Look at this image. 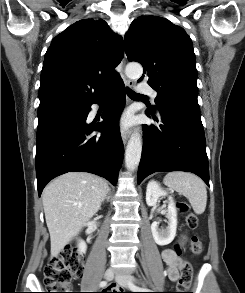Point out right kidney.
Masks as SVG:
<instances>
[{
	"instance_id": "right-kidney-1",
	"label": "right kidney",
	"mask_w": 245,
	"mask_h": 293,
	"mask_svg": "<svg viewBox=\"0 0 245 293\" xmlns=\"http://www.w3.org/2000/svg\"><path fill=\"white\" fill-rule=\"evenodd\" d=\"M87 245L83 240H78V251L83 254L86 252Z\"/></svg>"
}]
</instances>
